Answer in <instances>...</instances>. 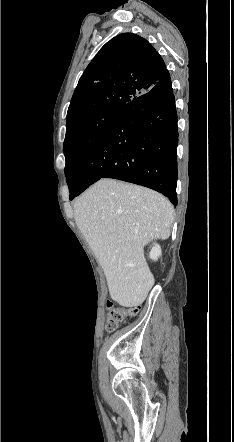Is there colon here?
<instances>
[{"label": "colon", "instance_id": "5ec220e1", "mask_svg": "<svg viewBox=\"0 0 234 442\" xmlns=\"http://www.w3.org/2000/svg\"><path fill=\"white\" fill-rule=\"evenodd\" d=\"M109 308L110 310L106 325V329L109 332L114 331L118 327L119 323L124 320V318L128 316H135L139 312V307H131L124 309V308H114L110 306Z\"/></svg>", "mask_w": 234, "mask_h": 442}]
</instances>
